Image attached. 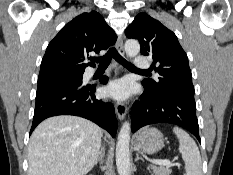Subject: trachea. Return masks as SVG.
Segmentation results:
<instances>
[{"label":"trachea","mask_w":233,"mask_h":175,"mask_svg":"<svg viewBox=\"0 0 233 175\" xmlns=\"http://www.w3.org/2000/svg\"><path fill=\"white\" fill-rule=\"evenodd\" d=\"M112 58H114L116 61H118L120 64H122L124 67L128 68V69H132V70H136V71H141L144 73H148L147 70H141L136 68L133 64H131L130 62H128L127 60H125L118 52L115 48H110L108 50V52L102 56V57H94L91 58L92 61L99 63V67H107Z\"/></svg>","instance_id":"1"}]
</instances>
